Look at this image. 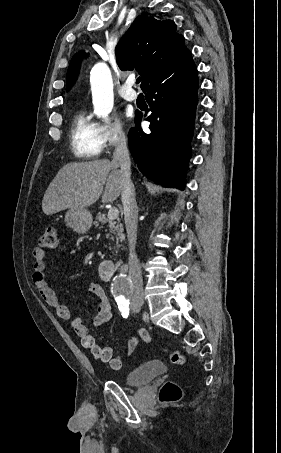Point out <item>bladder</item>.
Wrapping results in <instances>:
<instances>
[{"label":"bladder","mask_w":281,"mask_h":453,"mask_svg":"<svg viewBox=\"0 0 281 453\" xmlns=\"http://www.w3.org/2000/svg\"><path fill=\"white\" fill-rule=\"evenodd\" d=\"M165 371L166 365L162 361H150L128 372L124 381L129 386H138L151 381Z\"/></svg>","instance_id":"1"}]
</instances>
